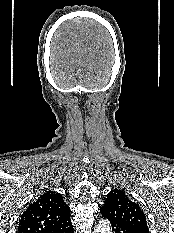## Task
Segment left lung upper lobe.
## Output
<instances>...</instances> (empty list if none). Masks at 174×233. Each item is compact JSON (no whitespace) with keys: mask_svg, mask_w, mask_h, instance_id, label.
Wrapping results in <instances>:
<instances>
[{"mask_svg":"<svg viewBox=\"0 0 174 233\" xmlns=\"http://www.w3.org/2000/svg\"><path fill=\"white\" fill-rule=\"evenodd\" d=\"M100 210L110 220L129 224L149 233L145 214L137 203L127 197L123 190L110 191Z\"/></svg>","mask_w":174,"mask_h":233,"instance_id":"5c2ea615","label":"left lung upper lobe"}]
</instances>
